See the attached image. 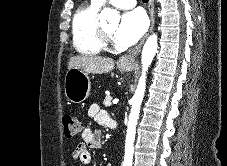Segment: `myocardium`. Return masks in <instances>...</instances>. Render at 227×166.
<instances>
[{
	"label": "myocardium",
	"mask_w": 227,
	"mask_h": 166,
	"mask_svg": "<svg viewBox=\"0 0 227 166\" xmlns=\"http://www.w3.org/2000/svg\"><path fill=\"white\" fill-rule=\"evenodd\" d=\"M99 36L104 45H108L112 40L111 34L104 29L102 24H99Z\"/></svg>",
	"instance_id": "f54148a6"
}]
</instances>
